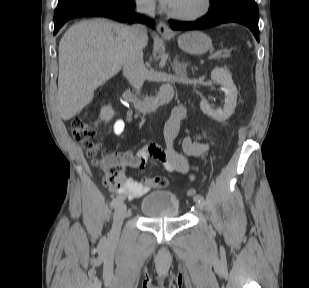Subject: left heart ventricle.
Returning <instances> with one entry per match:
<instances>
[{"label":"left heart ventricle","instance_id":"1","mask_svg":"<svg viewBox=\"0 0 309 288\" xmlns=\"http://www.w3.org/2000/svg\"><path fill=\"white\" fill-rule=\"evenodd\" d=\"M203 6V0H175L170 9L180 13H195Z\"/></svg>","mask_w":309,"mask_h":288}]
</instances>
